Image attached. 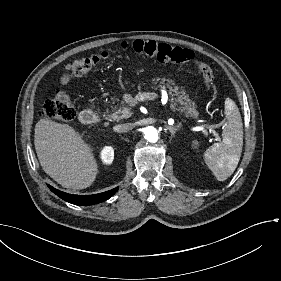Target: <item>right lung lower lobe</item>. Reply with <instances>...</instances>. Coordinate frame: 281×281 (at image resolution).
<instances>
[{"label": "right lung lower lobe", "mask_w": 281, "mask_h": 281, "mask_svg": "<svg viewBox=\"0 0 281 281\" xmlns=\"http://www.w3.org/2000/svg\"><path fill=\"white\" fill-rule=\"evenodd\" d=\"M48 187L57 196H59L60 198H62L65 201L75 204V205H92V204H97V203L103 202V201L109 199L111 196H113L118 190V188H114L109 191L99 193V194H94V195H72V194H68V193L62 192L60 190H57L50 185H48Z\"/></svg>", "instance_id": "right-lung-lower-lobe-1"}]
</instances>
